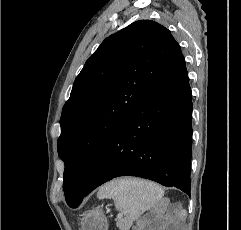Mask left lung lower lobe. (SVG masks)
I'll return each instance as SVG.
<instances>
[{
	"label": "left lung lower lobe",
	"instance_id": "obj_1",
	"mask_svg": "<svg viewBox=\"0 0 241 230\" xmlns=\"http://www.w3.org/2000/svg\"><path fill=\"white\" fill-rule=\"evenodd\" d=\"M192 92L183 60L115 132L82 197L119 176H136L190 194Z\"/></svg>",
	"mask_w": 241,
	"mask_h": 230
}]
</instances>
